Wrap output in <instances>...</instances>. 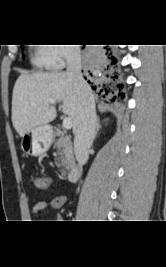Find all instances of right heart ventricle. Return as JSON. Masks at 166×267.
I'll list each match as a JSON object with an SVG mask.
<instances>
[{
    "mask_svg": "<svg viewBox=\"0 0 166 267\" xmlns=\"http://www.w3.org/2000/svg\"><path fill=\"white\" fill-rule=\"evenodd\" d=\"M35 46L31 52L30 61L31 64L38 69H43L49 66L47 57V47L42 46L43 44H38Z\"/></svg>",
    "mask_w": 166,
    "mask_h": 267,
    "instance_id": "obj_1",
    "label": "right heart ventricle"
}]
</instances>
